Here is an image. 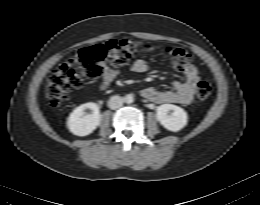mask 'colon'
<instances>
[{
    "mask_svg": "<svg viewBox=\"0 0 260 205\" xmlns=\"http://www.w3.org/2000/svg\"><path fill=\"white\" fill-rule=\"evenodd\" d=\"M152 47L132 40H111L104 44L82 48L67 62L56 67L51 73L45 94L51 106H57L67 99L69 93L79 88L85 81L101 76L103 65L114 66L127 64L138 52L150 51ZM167 61L177 70H183L190 62V54L177 47L160 49ZM211 85L199 81L196 85V96L200 100L207 99L211 94Z\"/></svg>",
    "mask_w": 260,
    "mask_h": 205,
    "instance_id": "obj_1",
    "label": "colon"
}]
</instances>
